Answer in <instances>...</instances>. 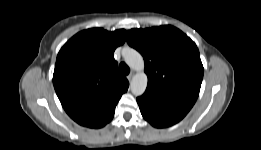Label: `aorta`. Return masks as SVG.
<instances>
[{"label":"aorta","instance_id":"1","mask_svg":"<svg viewBox=\"0 0 261 150\" xmlns=\"http://www.w3.org/2000/svg\"><path fill=\"white\" fill-rule=\"evenodd\" d=\"M124 60L131 69L137 71L131 80L130 89L135 96H140L145 92L148 82L144 72V59L138 51L129 48L124 52Z\"/></svg>","mask_w":261,"mask_h":150}]
</instances>
